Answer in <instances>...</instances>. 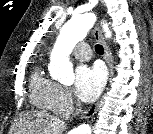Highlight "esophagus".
Segmentation results:
<instances>
[{
	"label": "esophagus",
	"mask_w": 153,
	"mask_h": 134,
	"mask_svg": "<svg viewBox=\"0 0 153 134\" xmlns=\"http://www.w3.org/2000/svg\"><path fill=\"white\" fill-rule=\"evenodd\" d=\"M94 37L95 39L100 42L104 48V59H105V62L108 66V69H109V75L110 77L113 75V67H112V58H111V54H110V50H109V47L103 37V34H102V31L99 27V25H97L95 27V30H94ZM100 107V102H97L95 105L91 106L86 112H85V116L86 117H91L93 116L98 108Z\"/></svg>",
	"instance_id": "1"
}]
</instances>
